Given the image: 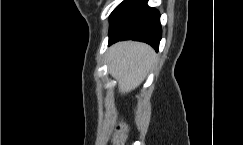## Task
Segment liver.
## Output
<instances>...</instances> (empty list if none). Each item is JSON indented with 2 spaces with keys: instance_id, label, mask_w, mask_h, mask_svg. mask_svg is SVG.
I'll return each mask as SVG.
<instances>
[{
  "instance_id": "6515ba94",
  "label": "liver",
  "mask_w": 243,
  "mask_h": 145,
  "mask_svg": "<svg viewBox=\"0 0 243 145\" xmlns=\"http://www.w3.org/2000/svg\"><path fill=\"white\" fill-rule=\"evenodd\" d=\"M155 58L154 50L147 44L124 41L109 50L108 69L118 81L119 92L129 93L146 78Z\"/></svg>"
}]
</instances>
